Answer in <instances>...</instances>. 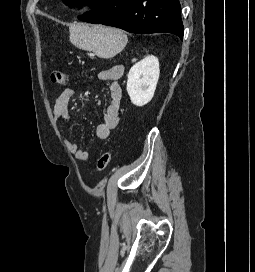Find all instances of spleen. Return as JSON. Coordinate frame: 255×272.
<instances>
[{"label": "spleen", "mask_w": 255, "mask_h": 272, "mask_svg": "<svg viewBox=\"0 0 255 272\" xmlns=\"http://www.w3.org/2000/svg\"><path fill=\"white\" fill-rule=\"evenodd\" d=\"M70 41L80 49L93 51L100 58H112L126 46L128 38L121 29L102 25L73 24Z\"/></svg>", "instance_id": "obj_1"}]
</instances>
